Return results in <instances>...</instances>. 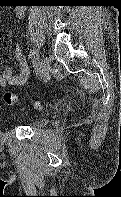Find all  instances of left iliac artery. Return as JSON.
<instances>
[{
    "label": "left iliac artery",
    "mask_w": 121,
    "mask_h": 197,
    "mask_svg": "<svg viewBox=\"0 0 121 197\" xmlns=\"http://www.w3.org/2000/svg\"><path fill=\"white\" fill-rule=\"evenodd\" d=\"M29 59H38V51L36 49H33L28 54Z\"/></svg>",
    "instance_id": "obj_1"
}]
</instances>
